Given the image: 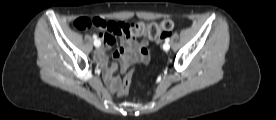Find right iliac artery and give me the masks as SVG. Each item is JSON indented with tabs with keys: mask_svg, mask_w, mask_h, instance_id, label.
<instances>
[{
	"mask_svg": "<svg viewBox=\"0 0 276 120\" xmlns=\"http://www.w3.org/2000/svg\"><path fill=\"white\" fill-rule=\"evenodd\" d=\"M93 38H94V45L96 46V47H98V46H100L101 45V43H100V41H98V42H96L97 41V36L96 35H93Z\"/></svg>",
	"mask_w": 276,
	"mask_h": 120,
	"instance_id": "obj_1",
	"label": "right iliac artery"
}]
</instances>
